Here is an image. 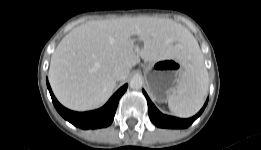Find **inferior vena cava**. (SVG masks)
<instances>
[{
  "instance_id": "inferior-vena-cava-1",
  "label": "inferior vena cava",
  "mask_w": 261,
  "mask_h": 150,
  "mask_svg": "<svg viewBox=\"0 0 261 150\" xmlns=\"http://www.w3.org/2000/svg\"><path fill=\"white\" fill-rule=\"evenodd\" d=\"M130 70L124 66H115L112 70V76L116 81L125 80Z\"/></svg>"
}]
</instances>
